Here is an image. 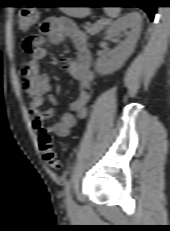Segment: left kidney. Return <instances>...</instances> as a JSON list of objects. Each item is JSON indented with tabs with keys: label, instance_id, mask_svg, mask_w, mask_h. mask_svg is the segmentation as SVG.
I'll return each mask as SVG.
<instances>
[{
	"label": "left kidney",
	"instance_id": "5707ae66",
	"mask_svg": "<svg viewBox=\"0 0 170 231\" xmlns=\"http://www.w3.org/2000/svg\"><path fill=\"white\" fill-rule=\"evenodd\" d=\"M142 19L139 13H128L112 23L107 31V37L113 39L121 30H127V37L121 41L120 51L113 54L109 59L98 58L95 70L101 75L110 74L118 70L132 54L141 32Z\"/></svg>",
	"mask_w": 170,
	"mask_h": 231
}]
</instances>
